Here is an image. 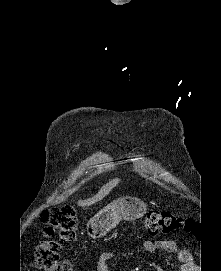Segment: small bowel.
Returning a JSON list of instances; mask_svg holds the SVG:
<instances>
[{
	"mask_svg": "<svg viewBox=\"0 0 221 271\" xmlns=\"http://www.w3.org/2000/svg\"><path fill=\"white\" fill-rule=\"evenodd\" d=\"M144 249L148 253L156 251H163L169 254L177 255L181 262L180 271H192V255L189 251L181 249L177 242L172 239L146 240L144 242ZM115 253L113 251L103 252L96 261V271H110V262L114 259Z\"/></svg>",
	"mask_w": 221,
	"mask_h": 271,
	"instance_id": "obj_1",
	"label": "small bowel"
}]
</instances>
